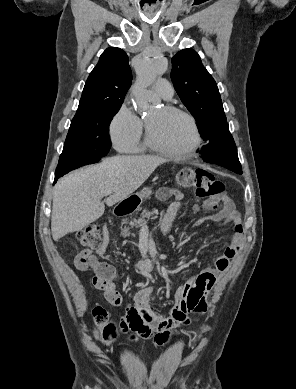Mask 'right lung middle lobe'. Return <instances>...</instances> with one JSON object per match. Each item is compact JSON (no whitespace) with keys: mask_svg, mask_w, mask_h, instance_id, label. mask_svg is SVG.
<instances>
[{"mask_svg":"<svg viewBox=\"0 0 296 389\" xmlns=\"http://www.w3.org/2000/svg\"><path fill=\"white\" fill-rule=\"evenodd\" d=\"M120 106L90 112L71 122L56 171L98 162L110 150L109 124Z\"/></svg>","mask_w":296,"mask_h":389,"instance_id":"obj_1","label":"right lung middle lobe"}]
</instances>
